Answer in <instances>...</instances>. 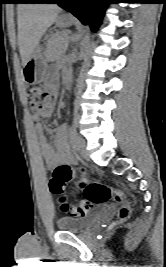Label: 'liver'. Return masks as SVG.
<instances>
[{"label": "liver", "instance_id": "liver-1", "mask_svg": "<svg viewBox=\"0 0 166 267\" xmlns=\"http://www.w3.org/2000/svg\"><path fill=\"white\" fill-rule=\"evenodd\" d=\"M61 9L53 4L21 3L17 7L18 45L23 66Z\"/></svg>", "mask_w": 166, "mask_h": 267}]
</instances>
